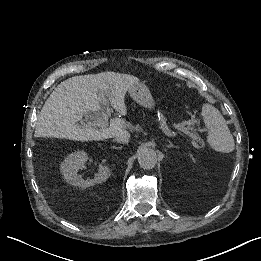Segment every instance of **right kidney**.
I'll list each match as a JSON object with an SVG mask.
<instances>
[{
  "instance_id": "ca27d5eb",
  "label": "right kidney",
  "mask_w": 261,
  "mask_h": 261,
  "mask_svg": "<svg viewBox=\"0 0 261 261\" xmlns=\"http://www.w3.org/2000/svg\"><path fill=\"white\" fill-rule=\"evenodd\" d=\"M88 160V157L85 153L79 152L71 154L65 159L61 165V171L64 176V179L70 184L77 187H90L106 181L109 176L110 170L107 165L104 163H97L99 166V172L94 176L93 179H81L77 172L80 167H82Z\"/></svg>"
}]
</instances>
